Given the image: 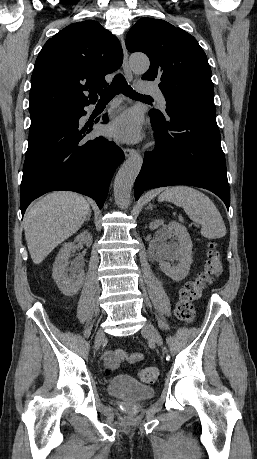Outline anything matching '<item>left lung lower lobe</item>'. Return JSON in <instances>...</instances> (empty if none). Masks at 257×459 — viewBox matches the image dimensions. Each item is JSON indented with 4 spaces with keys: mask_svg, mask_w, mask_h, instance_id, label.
Masks as SVG:
<instances>
[{
    "mask_svg": "<svg viewBox=\"0 0 257 459\" xmlns=\"http://www.w3.org/2000/svg\"><path fill=\"white\" fill-rule=\"evenodd\" d=\"M156 148L146 153L134 185L135 199L149 188L190 185L219 196L227 209L230 190L212 101L186 102L150 113Z\"/></svg>",
    "mask_w": 257,
    "mask_h": 459,
    "instance_id": "0a47b994",
    "label": "left lung lower lobe"
}]
</instances>
